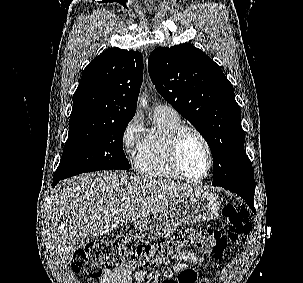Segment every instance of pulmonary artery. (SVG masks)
Wrapping results in <instances>:
<instances>
[{"label": "pulmonary artery", "instance_id": "e3ab8cb5", "mask_svg": "<svg viewBox=\"0 0 303 283\" xmlns=\"http://www.w3.org/2000/svg\"><path fill=\"white\" fill-rule=\"evenodd\" d=\"M155 111H163V112H175L169 105L167 104H160L157 105Z\"/></svg>", "mask_w": 303, "mask_h": 283}]
</instances>
